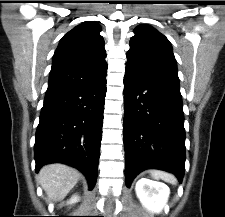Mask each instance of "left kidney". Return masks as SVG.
<instances>
[{
    "mask_svg": "<svg viewBox=\"0 0 225 217\" xmlns=\"http://www.w3.org/2000/svg\"><path fill=\"white\" fill-rule=\"evenodd\" d=\"M135 191L142 205L154 213L161 212L170 194L166 184L147 178L137 181Z\"/></svg>",
    "mask_w": 225,
    "mask_h": 217,
    "instance_id": "1",
    "label": "left kidney"
}]
</instances>
